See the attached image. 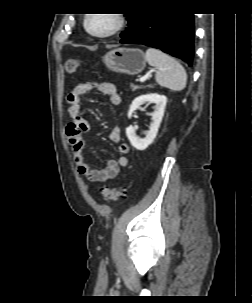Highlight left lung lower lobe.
<instances>
[{
  "label": "left lung lower lobe",
  "instance_id": "left-lung-lower-lobe-1",
  "mask_svg": "<svg viewBox=\"0 0 252 303\" xmlns=\"http://www.w3.org/2000/svg\"><path fill=\"white\" fill-rule=\"evenodd\" d=\"M192 13H157L147 10L121 43L143 44L160 49L192 66L194 57Z\"/></svg>",
  "mask_w": 252,
  "mask_h": 303
}]
</instances>
